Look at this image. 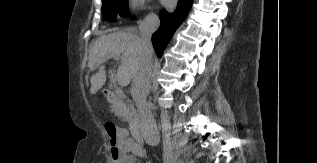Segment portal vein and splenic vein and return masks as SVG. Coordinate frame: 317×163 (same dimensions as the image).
Wrapping results in <instances>:
<instances>
[{"label":"portal vein and splenic vein","instance_id":"18ae733b","mask_svg":"<svg viewBox=\"0 0 317 163\" xmlns=\"http://www.w3.org/2000/svg\"><path fill=\"white\" fill-rule=\"evenodd\" d=\"M115 60H118V57H114ZM118 81V74H111L110 75V82L112 84L116 83Z\"/></svg>","mask_w":317,"mask_h":163}]
</instances>
